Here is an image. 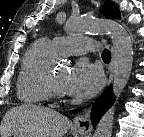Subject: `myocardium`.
Segmentation results:
<instances>
[{"label":"myocardium","mask_w":144,"mask_h":137,"mask_svg":"<svg viewBox=\"0 0 144 137\" xmlns=\"http://www.w3.org/2000/svg\"><path fill=\"white\" fill-rule=\"evenodd\" d=\"M47 88L51 97L56 99L65 98V90L58 84L55 73L52 70L47 78Z\"/></svg>","instance_id":"1"}]
</instances>
